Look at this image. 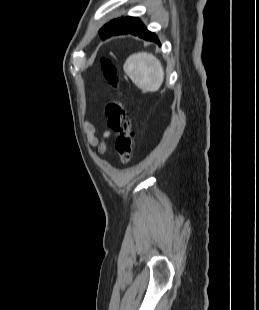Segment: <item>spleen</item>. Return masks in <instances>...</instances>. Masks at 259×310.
Listing matches in <instances>:
<instances>
[{
  "label": "spleen",
  "mask_w": 259,
  "mask_h": 310,
  "mask_svg": "<svg viewBox=\"0 0 259 310\" xmlns=\"http://www.w3.org/2000/svg\"><path fill=\"white\" fill-rule=\"evenodd\" d=\"M132 82L144 92H155L164 80L161 62L151 53L138 52L130 55L123 65Z\"/></svg>",
  "instance_id": "3e777b00"
}]
</instances>
